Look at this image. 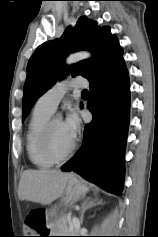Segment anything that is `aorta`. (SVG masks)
<instances>
[{
  "label": "aorta",
  "mask_w": 158,
  "mask_h": 237,
  "mask_svg": "<svg viewBox=\"0 0 158 237\" xmlns=\"http://www.w3.org/2000/svg\"><path fill=\"white\" fill-rule=\"evenodd\" d=\"M90 56H91V54L89 52H86V51L77 52V53L69 55L66 58L65 63L67 65H71V64L77 63L81 60L88 59Z\"/></svg>",
  "instance_id": "obj_1"
}]
</instances>
